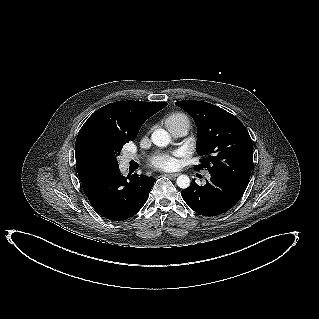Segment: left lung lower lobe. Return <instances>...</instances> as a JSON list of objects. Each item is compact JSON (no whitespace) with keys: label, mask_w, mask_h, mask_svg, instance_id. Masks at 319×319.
I'll return each instance as SVG.
<instances>
[{"label":"left lung lower lobe","mask_w":319,"mask_h":319,"mask_svg":"<svg viewBox=\"0 0 319 319\" xmlns=\"http://www.w3.org/2000/svg\"><path fill=\"white\" fill-rule=\"evenodd\" d=\"M247 185L229 177L211 174L205 186L192 184L181 192L182 198L198 214L216 216L226 213L240 200Z\"/></svg>","instance_id":"left-lung-lower-lobe-1"}]
</instances>
